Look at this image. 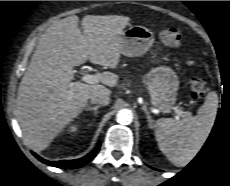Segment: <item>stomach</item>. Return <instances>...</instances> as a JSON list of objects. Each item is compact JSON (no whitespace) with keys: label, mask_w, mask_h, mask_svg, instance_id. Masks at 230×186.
<instances>
[{"label":"stomach","mask_w":230,"mask_h":186,"mask_svg":"<svg viewBox=\"0 0 230 186\" xmlns=\"http://www.w3.org/2000/svg\"><path fill=\"white\" fill-rule=\"evenodd\" d=\"M154 42L153 33L143 26H130L122 33L121 53L128 57L144 54ZM146 84L151 103L163 113L175 106L179 78L176 72L165 65L152 68L146 75Z\"/></svg>","instance_id":"1"}]
</instances>
